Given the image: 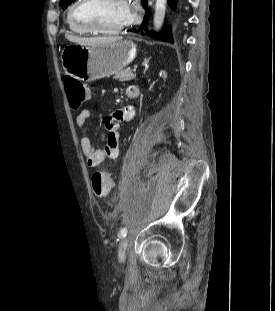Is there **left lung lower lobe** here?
I'll return each mask as SVG.
<instances>
[{"label":"left lung lower lobe","mask_w":275,"mask_h":311,"mask_svg":"<svg viewBox=\"0 0 275 311\" xmlns=\"http://www.w3.org/2000/svg\"><path fill=\"white\" fill-rule=\"evenodd\" d=\"M168 2H169V5L174 9L175 6H176L177 0H168ZM142 3H143V7L145 9H147V7H148L147 1L143 0ZM148 19H149V14L146 13L144 22L142 23V25L140 27V30L143 29L144 26L147 25ZM146 33L153 39H158V40H161V41H166V42L173 43V39H172V34H171V29L170 28L164 29L159 34H157L156 32H152V31H150V32L146 31Z\"/></svg>","instance_id":"0a47b994"}]
</instances>
